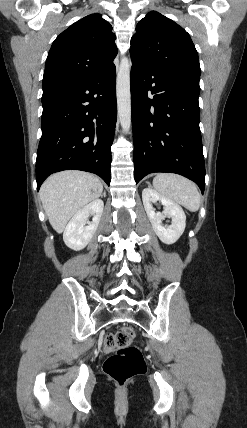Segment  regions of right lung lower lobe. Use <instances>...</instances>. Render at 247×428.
Segmentation results:
<instances>
[{"instance_id":"right-lung-lower-lobe-1","label":"right lung lower lobe","mask_w":247,"mask_h":428,"mask_svg":"<svg viewBox=\"0 0 247 428\" xmlns=\"http://www.w3.org/2000/svg\"><path fill=\"white\" fill-rule=\"evenodd\" d=\"M36 160L39 190L52 173L83 170L110 184L116 124V69L111 64L74 85L43 91Z\"/></svg>"}]
</instances>
